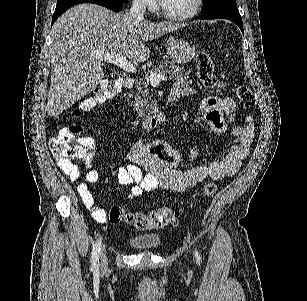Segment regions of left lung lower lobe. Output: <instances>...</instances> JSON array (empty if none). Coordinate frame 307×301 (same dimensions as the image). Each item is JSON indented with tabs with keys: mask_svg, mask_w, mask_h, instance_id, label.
Here are the masks:
<instances>
[{
	"mask_svg": "<svg viewBox=\"0 0 307 301\" xmlns=\"http://www.w3.org/2000/svg\"><path fill=\"white\" fill-rule=\"evenodd\" d=\"M201 19H215V18H203V17H201ZM224 19L230 20V21L234 22L235 24H237L239 26V28L241 29V31L243 32L242 19H234V18H224Z\"/></svg>",
	"mask_w": 307,
	"mask_h": 301,
	"instance_id": "0a47b994",
	"label": "left lung lower lobe"
}]
</instances>
